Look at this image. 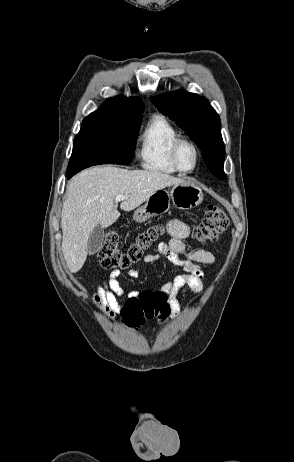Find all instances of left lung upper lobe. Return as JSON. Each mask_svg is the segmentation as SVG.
Segmentation results:
<instances>
[{
	"instance_id": "5c2ea615",
	"label": "left lung upper lobe",
	"mask_w": 294,
	"mask_h": 462,
	"mask_svg": "<svg viewBox=\"0 0 294 462\" xmlns=\"http://www.w3.org/2000/svg\"><path fill=\"white\" fill-rule=\"evenodd\" d=\"M151 102L198 145L210 172L220 179L226 178L223 171L225 146L220 132L221 122L207 99L178 90L152 97Z\"/></svg>"
}]
</instances>
